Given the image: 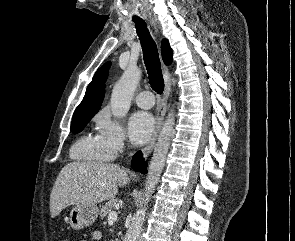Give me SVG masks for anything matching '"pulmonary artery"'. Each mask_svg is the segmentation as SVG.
I'll use <instances>...</instances> for the list:
<instances>
[{"instance_id": "1", "label": "pulmonary artery", "mask_w": 295, "mask_h": 241, "mask_svg": "<svg viewBox=\"0 0 295 241\" xmlns=\"http://www.w3.org/2000/svg\"><path fill=\"white\" fill-rule=\"evenodd\" d=\"M135 102L139 107L149 109L154 106L155 98L152 92L143 91L137 95Z\"/></svg>"}]
</instances>
